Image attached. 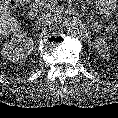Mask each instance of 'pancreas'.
Masks as SVG:
<instances>
[{"mask_svg":"<svg viewBox=\"0 0 118 118\" xmlns=\"http://www.w3.org/2000/svg\"><path fill=\"white\" fill-rule=\"evenodd\" d=\"M40 8L47 9L50 7V0H39L37 4ZM95 25L98 28L99 32L102 34H106L111 36L115 32V28L113 26V21L111 19H104L99 17L95 21Z\"/></svg>","mask_w":118,"mask_h":118,"instance_id":"cf45deb5","label":"pancreas"}]
</instances>
